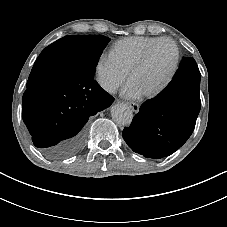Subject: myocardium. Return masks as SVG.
<instances>
[{
    "instance_id": "1",
    "label": "myocardium",
    "mask_w": 227,
    "mask_h": 227,
    "mask_svg": "<svg viewBox=\"0 0 227 227\" xmlns=\"http://www.w3.org/2000/svg\"><path fill=\"white\" fill-rule=\"evenodd\" d=\"M162 42H168L170 43L174 49H175V58L173 61V64L168 72V75L166 76L165 80L162 82L161 85H159L155 90H153L152 92L145 94L144 97L147 99H153L156 98L157 96H159L160 94H162L167 88L168 86L171 84L177 70L180 64V59H181V52H180V48L177 44V42L175 40H173L172 38H168V37H164V38H160L158 40H156L155 42H153L151 45H149L146 50L144 51L143 55L139 58V60L134 64V66L131 68V70L128 73V82H130V80L132 79V77L139 72L141 69H143V67L146 65L149 56L152 52V50L155 48V46H157L159 43Z\"/></svg>"
}]
</instances>
